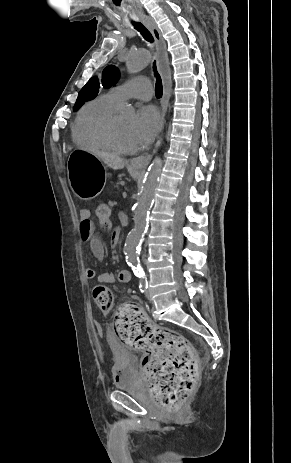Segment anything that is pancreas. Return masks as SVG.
Listing matches in <instances>:
<instances>
[{
  "instance_id": "obj_1",
  "label": "pancreas",
  "mask_w": 291,
  "mask_h": 463,
  "mask_svg": "<svg viewBox=\"0 0 291 463\" xmlns=\"http://www.w3.org/2000/svg\"><path fill=\"white\" fill-rule=\"evenodd\" d=\"M122 185H123V181L119 179L116 182H112L108 186V190L111 194L118 196L122 192Z\"/></svg>"
}]
</instances>
